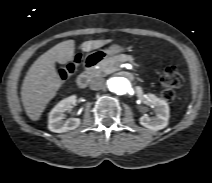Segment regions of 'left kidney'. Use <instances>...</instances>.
<instances>
[{"label":"left kidney","mask_w":212,"mask_h":183,"mask_svg":"<svg viewBox=\"0 0 212 183\" xmlns=\"http://www.w3.org/2000/svg\"><path fill=\"white\" fill-rule=\"evenodd\" d=\"M147 100L156 108V117L147 114L140 118V124L150 130L158 131L165 128L170 117V109L165 100L157 98L153 94L146 95Z\"/></svg>","instance_id":"1"}]
</instances>
